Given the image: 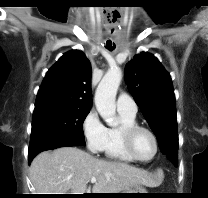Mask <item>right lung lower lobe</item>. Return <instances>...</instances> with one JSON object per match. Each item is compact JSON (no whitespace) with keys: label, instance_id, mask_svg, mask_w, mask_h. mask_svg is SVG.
Here are the masks:
<instances>
[{"label":"right lung lower lobe","instance_id":"obj_1","mask_svg":"<svg viewBox=\"0 0 208 198\" xmlns=\"http://www.w3.org/2000/svg\"><path fill=\"white\" fill-rule=\"evenodd\" d=\"M82 144L67 139L64 137H54L50 139H46L43 141H40L38 143L30 145L29 152H28V162L30 163L31 160L39 153L44 150H51L56 149L59 147H68V146H81Z\"/></svg>","mask_w":208,"mask_h":198}]
</instances>
